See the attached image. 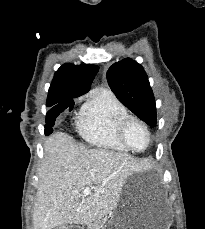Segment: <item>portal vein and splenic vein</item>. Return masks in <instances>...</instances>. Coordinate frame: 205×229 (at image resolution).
Here are the masks:
<instances>
[{
	"instance_id": "1",
	"label": "portal vein and splenic vein",
	"mask_w": 205,
	"mask_h": 229,
	"mask_svg": "<svg viewBox=\"0 0 205 229\" xmlns=\"http://www.w3.org/2000/svg\"><path fill=\"white\" fill-rule=\"evenodd\" d=\"M92 189H96V187H85V189L83 190V193L81 194V197H86Z\"/></svg>"
}]
</instances>
